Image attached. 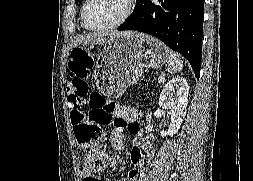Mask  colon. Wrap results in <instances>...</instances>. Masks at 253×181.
<instances>
[{
    "mask_svg": "<svg viewBox=\"0 0 253 181\" xmlns=\"http://www.w3.org/2000/svg\"><path fill=\"white\" fill-rule=\"evenodd\" d=\"M82 53H92V48H73L70 59V70L77 71ZM69 95L71 123L77 143L88 149L85 164L94 171L104 169L109 162V155L103 146V126L108 124L114 115L115 107L100 94L93 92Z\"/></svg>",
    "mask_w": 253,
    "mask_h": 181,
    "instance_id": "5ec220e1",
    "label": "colon"
}]
</instances>
